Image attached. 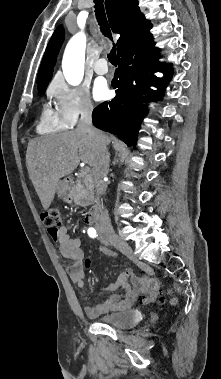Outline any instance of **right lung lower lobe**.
<instances>
[{"label": "right lung lower lobe", "instance_id": "98d812e1", "mask_svg": "<svg viewBox=\"0 0 221 379\" xmlns=\"http://www.w3.org/2000/svg\"><path fill=\"white\" fill-rule=\"evenodd\" d=\"M149 30L118 52L119 67L112 81L113 88H117L116 97L92 113L94 126L117 135L128 146L136 143L141 121L148 112L143 103L159 99L172 74L171 64L158 62L159 49ZM157 71L164 77L157 78Z\"/></svg>", "mask_w": 221, "mask_h": 379}]
</instances>
